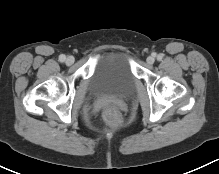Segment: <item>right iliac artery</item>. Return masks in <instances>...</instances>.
Listing matches in <instances>:
<instances>
[{"label":"right iliac artery","mask_w":219,"mask_h":174,"mask_svg":"<svg viewBox=\"0 0 219 174\" xmlns=\"http://www.w3.org/2000/svg\"><path fill=\"white\" fill-rule=\"evenodd\" d=\"M65 59H66V56H65V55L62 54V55L59 56L60 62H64Z\"/></svg>","instance_id":"1"}]
</instances>
